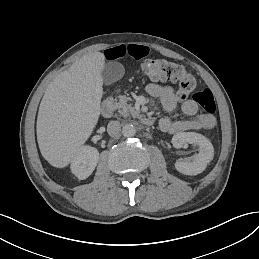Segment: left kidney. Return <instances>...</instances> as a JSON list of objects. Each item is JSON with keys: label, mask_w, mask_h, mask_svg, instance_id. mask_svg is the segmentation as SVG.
I'll return each mask as SVG.
<instances>
[{"label": "left kidney", "mask_w": 259, "mask_h": 259, "mask_svg": "<svg viewBox=\"0 0 259 259\" xmlns=\"http://www.w3.org/2000/svg\"><path fill=\"white\" fill-rule=\"evenodd\" d=\"M173 144L176 148L184 144H196L199 152L192 163L177 162L175 168L178 172L187 176H195L202 173L214 157V148L211 142L201 134L192 132H180L174 135Z\"/></svg>", "instance_id": "1"}]
</instances>
